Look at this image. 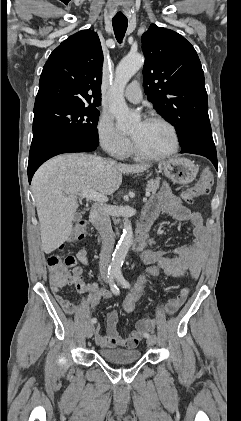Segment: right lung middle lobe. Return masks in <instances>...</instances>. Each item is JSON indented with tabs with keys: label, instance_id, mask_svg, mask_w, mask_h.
I'll return each mask as SVG.
<instances>
[{
	"label": "right lung middle lobe",
	"instance_id": "dd1d6c3e",
	"mask_svg": "<svg viewBox=\"0 0 241 421\" xmlns=\"http://www.w3.org/2000/svg\"><path fill=\"white\" fill-rule=\"evenodd\" d=\"M100 112L93 106L53 104L34 108L32 145L57 138L80 139L99 145Z\"/></svg>",
	"mask_w": 241,
	"mask_h": 421
}]
</instances>
